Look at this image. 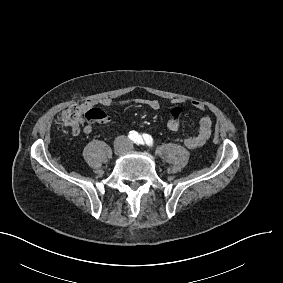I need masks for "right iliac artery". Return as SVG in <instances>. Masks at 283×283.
<instances>
[{
	"mask_svg": "<svg viewBox=\"0 0 283 283\" xmlns=\"http://www.w3.org/2000/svg\"><path fill=\"white\" fill-rule=\"evenodd\" d=\"M128 137L130 138V140L136 142L139 134L136 131H130Z\"/></svg>",
	"mask_w": 283,
	"mask_h": 283,
	"instance_id": "obj_1",
	"label": "right iliac artery"
}]
</instances>
